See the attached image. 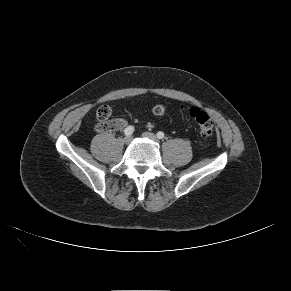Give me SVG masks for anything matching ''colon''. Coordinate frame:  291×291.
<instances>
[{
	"mask_svg": "<svg viewBox=\"0 0 291 291\" xmlns=\"http://www.w3.org/2000/svg\"><path fill=\"white\" fill-rule=\"evenodd\" d=\"M166 111V107L163 104H157L153 107V114L155 116H162ZM112 114V109L107 106H101L96 113V118L98 120V124L96 126V130L99 132H107L111 131L112 126L110 123V116ZM190 115L195 121L200 136L202 138L203 143L207 142L214 133V123L212 118L203 110L197 107H192L190 109Z\"/></svg>",
	"mask_w": 291,
	"mask_h": 291,
	"instance_id": "colon-1",
	"label": "colon"
}]
</instances>
